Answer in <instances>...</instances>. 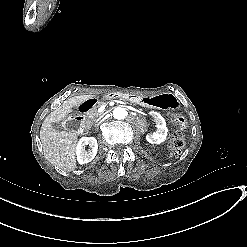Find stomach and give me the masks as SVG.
Wrapping results in <instances>:
<instances>
[{
	"label": "stomach",
	"instance_id": "0dacf381",
	"mask_svg": "<svg viewBox=\"0 0 247 247\" xmlns=\"http://www.w3.org/2000/svg\"><path fill=\"white\" fill-rule=\"evenodd\" d=\"M141 104L151 108L165 110H176L179 108V101L172 93H160L148 97L140 98Z\"/></svg>",
	"mask_w": 247,
	"mask_h": 247
}]
</instances>
